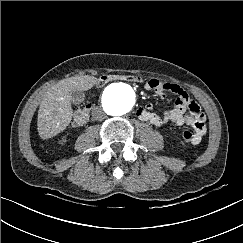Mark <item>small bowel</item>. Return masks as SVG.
<instances>
[{
  "instance_id": "small-bowel-1",
  "label": "small bowel",
  "mask_w": 243,
  "mask_h": 243,
  "mask_svg": "<svg viewBox=\"0 0 243 243\" xmlns=\"http://www.w3.org/2000/svg\"><path fill=\"white\" fill-rule=\"evenodd\" d=\"M145 89L155 91L162 99L165 94L170 92L176 96L175 106L172 110L165 111L163 114L152 112L153 104L149 103L140 107L137 111L138 117L151 123L154 126H163L171 123L174 125L186 124L193 129V145H198L206 134V116L201 111L200 106L188 93L180 86L157 79H151L145 84Z\"/></svg>"
}]
</instances>
